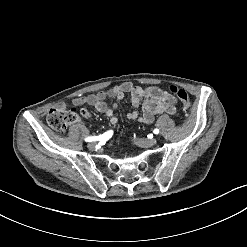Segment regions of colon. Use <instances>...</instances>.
Masks as SVG:
<instances>
[{"mask_svg":"<svg viewBox=\"0 0 247 247\" xmlns=\"http://www.w3.org/2000/svg\"><path fill=\"white\" fill-rule=\"evenodd\" d=\"M169 89L182 103L184 110L188 114H191V100L189 94L184 89L174 84L170 85ZM73 112L74 110L51 109L47 114V123L55 131H64L72 124Z\"/></svg>","mask_w":247,"mask_h":247,"instance_id":"5ec220e1","label":"colon"}]
</instances>
